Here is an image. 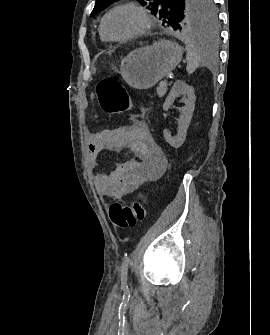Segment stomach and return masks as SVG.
I'll list each match as a JSON object with an SVG mask.
<instances>
[{"mask_svg":"<svg viewBox=\"0 0 270 335\" xmlns=\"http://www.w3.org/2000/svg\"><path fill=\"white\" fill-rule=\"evenodd\" d=\"M182 60V48L171 40L136 48L120 62V74L131 88L148 90L174 70Z\"/></svg>","mask_w":270,"mask_h":335,"instance_id":"0dacf381","label":"stomach"}]
</instances>
